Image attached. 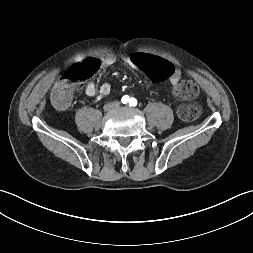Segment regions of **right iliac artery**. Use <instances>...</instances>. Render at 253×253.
Returning a JSON list of instances; mask_svg holds the SVG:
<instances>
[{"label": "right iliac artery", "instance_id": "1", "mask_svg": "<svg viewBox=\"0 0 253 253\" xmlns=\"http://www.w3.org/2000/svg\"><path fill=\"white\" fill-rule=\"evenodd\" d=\"M121 101L123 104H126L129 101V96H127V95L123 96Z\"/></svg>", "mask_w": 253, "mask_h": 253}]
</instances>
